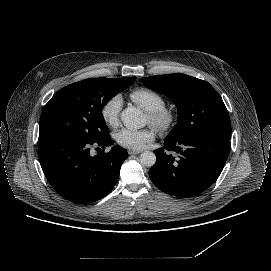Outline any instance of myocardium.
Returning a JSON list of instances; mask_svg holds the SVG:
<instances>
[{
	"label": "myocardium",
	"instance_id": "f54148a6",
	"mask_svg": "<svg viewBox=\"0 0 271 271\" xmlns=\"http://www.w3.org/2000/svg\"><path fill=\"white\" fill-rule=\"evenodd\" d=\"M175 120V112L167 106L148 112V121L158 131L169 129Z\"/></svg>",
	"mask_w": 271,
	"mask_h": 271
}]
</instances>
